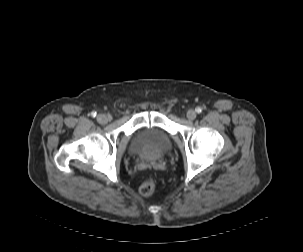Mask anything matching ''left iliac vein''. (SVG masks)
<instances>
[{"instance_id": "obj_1", "label": "left iliac vein", "mask_w": 303, "mask_h": 252, "mask_svg": "<svg viewBox=\"0 0 303 252\" xmlns=\"http://www.w3.org/2000/svg\"><path fill=\"white\" fill-rule=\"evenodd\" d=\"M196 116H197V114H196V112L194 110H189L187 112V118L189 120H194L196 118Z\"/></svg>"}]
</instances>
